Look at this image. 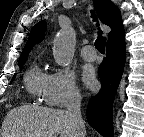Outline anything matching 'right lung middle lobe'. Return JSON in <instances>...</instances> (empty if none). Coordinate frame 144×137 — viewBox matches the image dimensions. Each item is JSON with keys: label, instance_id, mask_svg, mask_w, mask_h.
Wrapping results in <instances>:
<instances>
[{"label": "right lung middle lobe", "instance_id": "right-lung-middle-lobe-1", "mask_svg": "<svg viewBox=\"0 0 144 137\" xmlns=\"http://www.w3.org/2000/svg\"><path fill=\"white\" fill-rule=\"evenodd\" d=\"M24 63H25V62H19L18 65H19V66H22V65H24ZM14 77H15V76H14ZM14 77H13V79H14Z\"/></svg>", "mask_w": 144, "mask_h": 137}]
</instances>
